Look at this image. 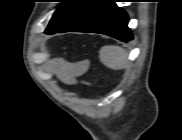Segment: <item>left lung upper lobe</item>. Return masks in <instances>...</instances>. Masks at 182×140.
I'll use <instances>...</instances> for the list:
<instances>
[{
  "label": "left lung upper lobe",
  "instance_id": "obj_1",
  "mask_svg": "<svg viewBox=\"0 0 182 140\" xmlns=\"http://www.w3.org/2000/svg\"><path fill=\"white\" fill-rule=\"evenodd\" d=\"M107 0H61L45 30L48 35L63 33L87 17Z\"/></svg>",
  "mask_w": 182,
  "mask_h": 140
}]
</instances>
